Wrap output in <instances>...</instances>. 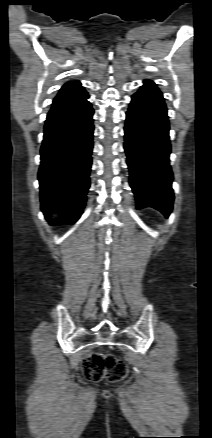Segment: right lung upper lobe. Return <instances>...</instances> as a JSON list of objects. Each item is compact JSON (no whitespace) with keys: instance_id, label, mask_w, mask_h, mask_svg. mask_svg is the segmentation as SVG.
Instances as JSON below:
<instances>
[{"instance_id":"right-lung-upper-lobe-1","label":"right lung upper lobe","mask_w":212,"mask_h":438,"mask_svg":"<svg viewBox=\"0 0 212 438\" xmlns=\"http://www.w3.org/2000/svg\"><path fill=\"white\" fill-rule=\"evenodd\" d=\"M86 93L79 81H70L60 89L53 102L75 98Z\"/></svg>"}]
</instances>
